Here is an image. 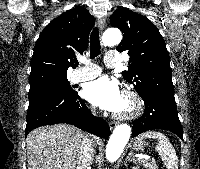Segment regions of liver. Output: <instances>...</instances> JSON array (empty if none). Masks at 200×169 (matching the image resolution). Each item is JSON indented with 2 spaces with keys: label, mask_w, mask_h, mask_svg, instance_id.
Returning a JSON list of instances; mask_svg holds the SVG:
<instances>
[{
  "label": "liver",
  "mask_w": 200,
  "mask_h": 169,
  "mask_svg": "<svg viewBox=\"0 0 200 169\" xmlns=\"http://www.w3.org/2000/svg\"><path fill=\"white\" fill-rule=\"evenodd\" d=\"M86 138L81 130L67 124L33 130L26 138L28 169H75Z\"/></svg>",
  "instance_id": "6515ba94"
}]
</instances>
